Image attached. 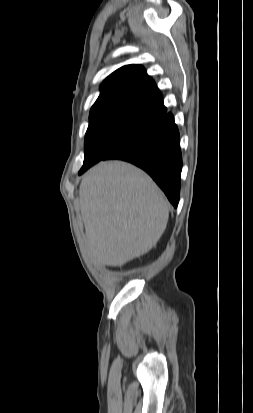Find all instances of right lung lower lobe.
<instances>
[{
	"label": "right lung lower lobe",
	"instance_id": "right-lung-lower-lobe-1",
	"mask_svg": "<svg viewBox=\"0 0 253 413\" xmlns=\"http://www.w3.org/2000/svg\"><path fill=\"white\" fill-rule=\"evenodd\" d=\"M108 159L128 161L145 170L172 205L177 207L182 155L179 131L171 113L163 117L155 127L117 148L102 160ZM85 171H79V175Z\"/></svg>",
	"mask_w": 253,
	"mask_h": 413
}]
</instances>
